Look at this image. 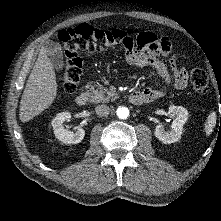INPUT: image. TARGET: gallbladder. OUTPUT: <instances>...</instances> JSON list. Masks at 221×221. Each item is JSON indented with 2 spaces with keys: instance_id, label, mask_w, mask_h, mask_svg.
I'll return each instance as SVG.
<instances>
[{
  "instance_id": "gallbladder-1",
  "label": "gallbladder",
  "mask_w": 221,
  "mask_h": 221,
  "mask_svg": "<svg viewBox=\"0 0 221 221\" xmlns=\"http://www.w3.org/2000/svg\"><path fill=\"white\" fill-rule=\"evenodd\" d=\"M47 54L50 56L55 69L61 70L64 66V59L61 45L58 42L47 41L45 44Z\"/></svg>"
}]
</instances>
